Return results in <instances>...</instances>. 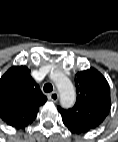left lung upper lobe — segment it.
<instances>
[{"instance_id": "obj_1", "label": "left lung upper lobe", "mask_w": 118, "mask_h": 142, "mask_svg": "<svg viewBox=\"0 0 118 142\" xmlns=\"http://www.w3.org/2000/svg\"><path fill=\"white\" fill-rule=\"evenodd\" d=\"M77 100L68 109L58 107L63 123L75 133H86L98 127L111 108L110 88L105 77L96 69L78 72L75 77Z\"/></svg>"}]
</instances>
